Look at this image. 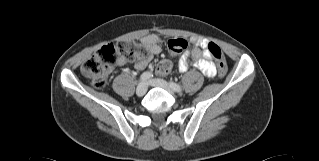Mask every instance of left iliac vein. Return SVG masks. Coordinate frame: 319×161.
Masks as SVG:
<instances>
[{
    "label": "left iliac vein",
    "mask_w": 319,
    "mask_h": 161,
    "mask_svg": "<svg viewBox=\"0 0 319 161\" xmlns=\"http://www.w3.org/2000/svg\"><path fill=\"white\" fill-rule=\"evenodd\" d=\"M149 84L154 87H160L168 91L170 94H174V90L171 88L170 84L162 79H152Z\"/></svg>",
    "instance_id": "obj_1"
}]
</instances>
